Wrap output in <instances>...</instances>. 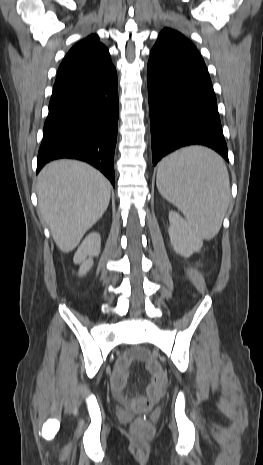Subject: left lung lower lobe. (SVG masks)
Segmentation results:
<instances>
[{
    "mask_svg": "<svg viewBox=\"0 0 263 465\" xmlns=\"http://www.w3.org/2000/svg\"><path fill=\"white\" fill-rule=\"evenodd\" d=\"M153 164L188 145L214 149L228 161L211 79L198 51L155 45L148 62Z\"/></svg>",
    "mask_w": 263,
    "mask_h": 465,
    "instance_id": "0a47b994",
    "label": "left lung lower lobe"
}]
</instances>
